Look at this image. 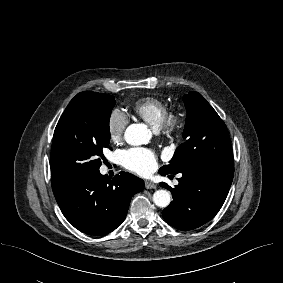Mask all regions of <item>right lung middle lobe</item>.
Listing matches in <instances>:
<instances>
[{"label":"right lung middle lobe","instance_id":"obj_1","mask_svg":"<svg viewBox=\"0 0 283 283\" xmlns=\"http://www.w3.org/2000/svg\"><path fill=\"white\" fill-rule=\"evenodd\" d=\"M113 96L81 92L69 103L54 131L50 167L52 189L98 171L110 142Z\"/></svg>","mask_w":283,"mask_h":283}]
</instances>
